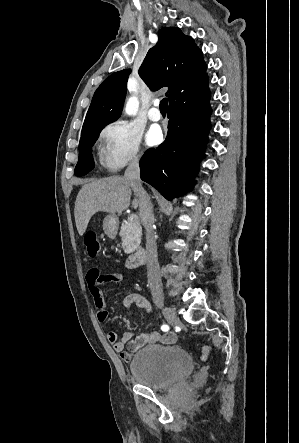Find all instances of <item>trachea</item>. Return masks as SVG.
<instances>
[{"instance_id":"obj_1","label":"trachea","mask_w":299,"mask_h":443,"mask_svg":"<svg viewBox=\"0 0 299 443\" xmlns=\"http://www.w3.org/2000/svg\"><path fill=\"white\" fill-rule=\"evenodd\" d=\"M160 111L161 112H166L167 111V107H168V99L164 98L160 101Z\"/></svg>"}]
</instances>
